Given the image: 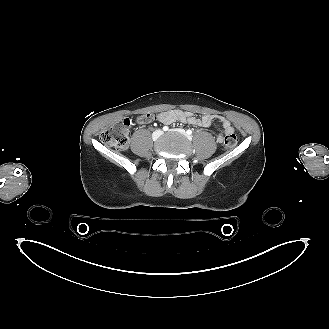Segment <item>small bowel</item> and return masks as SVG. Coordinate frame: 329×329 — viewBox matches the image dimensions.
<instances>
[{"label": "small bowel", "instance_id": "1", "mask_svg": "<svg viewBox=\"0 0 329 329\" xmlns=\"http://www.w3.org/2000/svg\"><path fill=\"white\" fill-rule=\"evenodd\" d=\"M158 120L166 125L181 122L199 127H208L213 122H219L223 129V133L218 134L216 137V140L219 143H222L226 136L231 135L234 132V127L227 118L214 114H204L198 116L189 111L174 109L160 112L158 115Z\"/></svg>", "mask_w": 329, "mask_h": 329}]
</instances>
